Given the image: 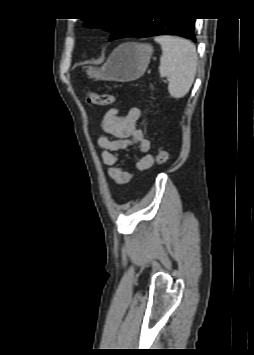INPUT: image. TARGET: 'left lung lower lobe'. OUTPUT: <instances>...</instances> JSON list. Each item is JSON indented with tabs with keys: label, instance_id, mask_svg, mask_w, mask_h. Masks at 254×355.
<instances>
[{
	"label": "left lung lower lobe",
	"instance_id": "left-lung-lower-lobe-1",
	"mask_svg": "<svg viewBox=\"0 0 254 355\" xmlns=\"http://www.w3.org/2000/svg\"><path fill=\"white\" fill-rule=\"evenodd\" d=\"M194 18H134L119 38L177 35L195 41Z\"/></svg>",
	"mask_w": 254,
	"mask_h": 355
}]
</instances>
